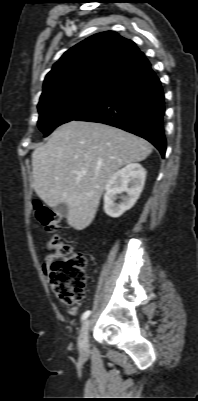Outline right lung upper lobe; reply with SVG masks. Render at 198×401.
<instances>
[{
  "mask_svg": "<svg viewBox=\"0 0 198 401\" xmlns=\"http://www.w3.org/2000/svg\"><path fill=\"white\" fill-rule=\"evenodd\" d=\"M146 57L114 31L95 34L66 51L46 75L41 98L85 85L109 86Z\"/></svg>",
  "mask_w": 198,
  "mask_h": 401,
  "instance_id": "right-lung-upper-lobe-1",
  "label": "right lung upper lobe"
}]
</instances>
